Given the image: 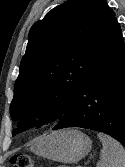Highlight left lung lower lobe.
<instances>
[{"label":"left lung lower lobe","instance_id":"1","mask_svg":"<svg viewBox=\"0 0 125 167\" xmlns=\"http://www.w3.org/2000/svg\"><path fill=\"white\" fill-rule=\"evenodd\" d=\"M64 113L53 130L91 129L108 134L125 146V44L116 18Z\"/></svg>","mask_w":125,"mask_h":167}]
</instances>
